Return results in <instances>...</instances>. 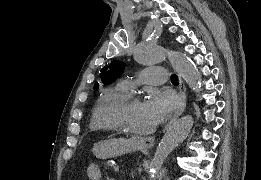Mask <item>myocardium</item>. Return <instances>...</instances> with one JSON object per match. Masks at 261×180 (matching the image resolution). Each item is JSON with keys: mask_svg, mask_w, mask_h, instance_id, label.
Returning <instances> with one entry per match:
<instances>
[{"mask_svg": "<svg viewBox=\"0 0 261 180\" xmlns=\"http://www.w3.org/2000/svg\"><path fill=\"white\" fill-rule=\"evenodd\" d=\"M141 99V95L135 92H131L128 93L121 101L120 103L114 107L112 109L111 112V117H112V121H113V126H114V133L116 136H126L129 137L131 139L134 140H139L142 139L144 137H152L155 135V133L157 132L158 129V123L156 122V124L154 125V127L145 135L143 136H137V135H133L130 134L124 127V125L122 124V122L120 121L118 114L123 111L124 109H126L127 107H129L132 103L138 101Z\"/></svg>", "mask_w": 261, "mask_h": 180, "instance_id": "obj_1", "label": "myocardium"}]
</instances>
